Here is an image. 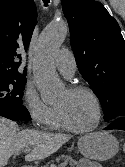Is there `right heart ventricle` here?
<instances>
[{
    "instance_id": "e07e8e85",
    "label": "right heart ventricle",
    "mask_w": 125,
    "mask_h": 167,
    "mask_svg": "<svg viewBox=\"0 0 125 167\" xmlns=\"http://www.w3.org/2000/svg\"><path fill=\"white\" fill-rule=\"evenodd\" d=\"M49 128H51L53 130L63 129V127L60 123V119H59L57 111L55 112L54 118H53L51 124L49 125Z\"/></svg>"
}]
</instances>
